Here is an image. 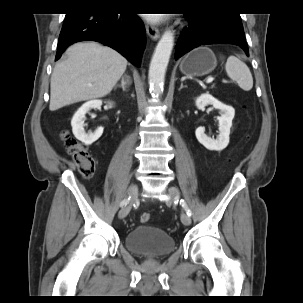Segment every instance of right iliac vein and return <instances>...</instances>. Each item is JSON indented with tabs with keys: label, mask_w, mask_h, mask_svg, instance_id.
Returning <instances> with one entry per match:
<instances>
[{
	"label": "right iliac vein",
	"mask_w": 303,
	"mask_h": 303,
	"mask_svg": "<svg viewBox=\"0 0 303 303\" xmlns=\"http://www.w3.org/2000/svg\"><path fill=\"white\" fill-rule=\"evenodd\" d=\"M137 193H138V186L136 184H133L129 187L128 189V196L130 197V204L129 205H126L125 207H123L119 214H118V217L123 219L125 218L129 211H130V208H131V204L132 202L135 200L136 196H137Z\"/></svg>",
	"instance_id": "obj_1"
}]
</instances>
